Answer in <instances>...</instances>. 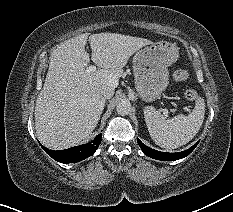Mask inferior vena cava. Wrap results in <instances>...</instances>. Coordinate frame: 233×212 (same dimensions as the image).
<instances>
[{"label": "inferior vena cava", "mask_w": 233, "mask_h": 212, "mask_svg": "<svg viewBox=\"0 0 233 212\" xmlns=\"http://www.w3.org/2000/svg\"><path fill=\"white\" fill-rule=\"evenodd\" d=\"M99 94L104 98V99H110L113 94H114V90H112L111 88L107 87V86H103L99 89Z\"/></svg>", "instance_id": "1"}]
</instances>
